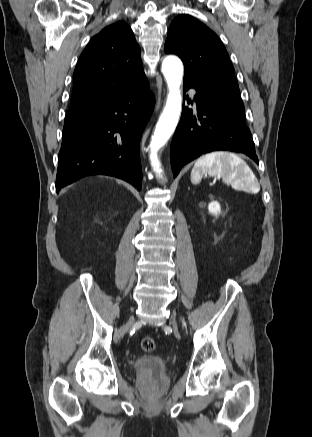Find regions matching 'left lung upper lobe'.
Here are the masks:
<instances>
[{
    "mask_svg": "<svg viewBox=\"0 0 312 437\" xmlns=\"http://www.w3.org/2000/svg\"><path fill=\"white\" fill-rule=\"evenodd\" d=\"M165 52L184 63V81L200 93L225 102L245 120V108L228 53L207 26L189 15H179L169 28Z\"/></svg>",
    "mask_w": 312,
    "mask_h": 437,
    "instance_id": "obj_1",
    "label": "left lung upper lobe"
}]
</instances>
